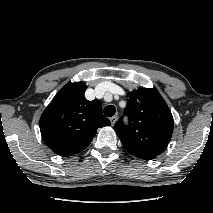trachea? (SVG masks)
<instances>
[{"mask_svg": "<svg viewBox=\"0 0 213 213\" xmlns=\"http://www.w3.org/2000/svg\"><path fill=\"white\" fill-rule=\"evenodd\" d=\"M116 112V108L113 105H108L104 108V114L107 117H112Z\"/></svg>", "mask_w": 213, "mask_h": 213, "instance_id": "3493384b", "label": "trachea"}]
</instances>
